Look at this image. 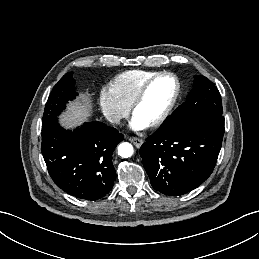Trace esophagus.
Returning <instances> with one entry per match:
<instances>
[{"instance_id": "1", "label": "esophagus", "mask_w": 259, "mask_h": 259, "mask_svg": "<svg viewBox=\"0 0 259 259\" xmlns=\"http://www.w3.org/2000/svg\"><path fill=\"white\" fill-rule=\"evenodd\" d=\"M137 148H140L143 144V140L137 137H130L128 138Z\"/></svg>"}]
</instances>
